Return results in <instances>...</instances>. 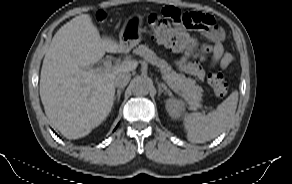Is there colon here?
Listing matches in <instances>:
<instances>
[{"label":"colon","instance_id":"1","mask_svg":"<svg viewBox=\"0 0 292 184\" xmlns=\"http://www.w3.org/2000/svg\"><path fill=\"white\" fill-rule=\"evenodd\" d=\"M148 24L154 39L174 51L196 52L207 56L212 47L199 44L190 38L181 28L198 29L210 26L211 21L206 14L199 12H181L174 7H166L161 13H152L148 16ZM214 93L223 97L228 92V86L221 73H212L208 77Z\"/></svg>","mask_w":292,"mask_h":184}]
</instances>
